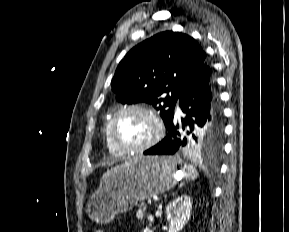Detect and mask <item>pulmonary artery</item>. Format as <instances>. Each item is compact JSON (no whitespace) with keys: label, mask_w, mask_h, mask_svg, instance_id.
Segmentation results:
<instances>
[{"label":"pulmonary artery","mask_w":289,"mask_h":232,"mask_svg":"<svg viewBox=\"0 0 289 232\" xmlns=\"http://www.w3.org/2000/svg\"><path fill=\"white\" fill-rule=\"evenodd\" d=\"M177 112L181 113V110H180L179 106H177Z\"/></svg>","instance_id":"obj_1"}]
</instances>
